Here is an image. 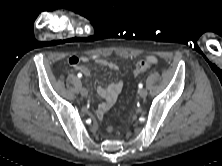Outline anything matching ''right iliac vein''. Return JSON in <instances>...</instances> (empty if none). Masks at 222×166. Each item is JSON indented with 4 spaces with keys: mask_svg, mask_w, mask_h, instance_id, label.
I'll use <instances>...</instances> for the list:
<instances>
[{
    "mask_svg": "<svg viewBox=\"0 0 222 166\" xmlns=\"http://www.w3.org/2000/svg\"><path fill=\"white\" fill-rule=\"evenodd\" d=\"M80 93L83 97H87L88 95V90L86 88H81Z\"/></svg>",
    "mask_w": 222,
    "mask_h": 166,
    "instance_id": "63e3f726",
    "label": "right iliac vein"
}]
</instances>
